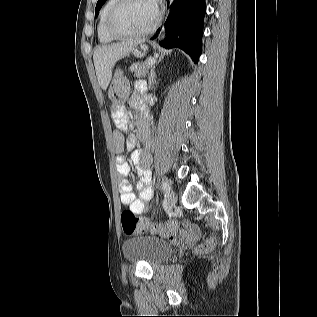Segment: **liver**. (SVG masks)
<instances>
[{
  "instance_id": "1",
  "label": "liver",
  "mask_w": 317,
  "mask_h": 317,
  "mask_svg": "<svg viewBox=\"0 0 317 317\" xmlns=\"http://www.w3.org/2000/svg\"><path fill=\"white\" fill-rule=\"evenodd\" d=\"M140 40H128L121 43L99 46L93 54V61L99 85L106 90L111 78L112 69L116 62L126 56Z\"/></svg>"
}]
</instances>
